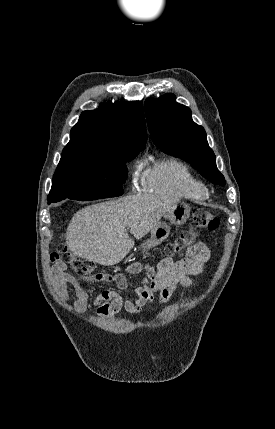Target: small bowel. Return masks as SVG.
I'll use <instances>...</instances> for the list:
<instances>
[{
	"mask_svg": "<svg viewBox=\"0 0 275 429\" xmlns=\"http://www.w3.org/2000/svg\"><path fill=\"white\" fill-rule=\"evenodd\" d=\"M210 253L207 246L197 243L191 247L181 259L175 261L171 257L162 259L156 268L135 262L130 264L126 271L131 274L145 273L142 285L132 289L134 296L123 297L113 290H103L93 301L97 313L101 317L112 318L122 309L132 314H138L143 307L154 301L155 294L159 300L167 302L174 291L179 288H190L193 286L192 275L200 274L209 260ZM54 287L57 295L67 298V284H70L76 296L73 309L82 311L88 301L89 295L82 287V279L66 272V265L57 260L55 263ZM90 282H113L119 288H126L127 282L123 274H103L88 279Z\"/></svg>",
	"mask_w": 275,
	"mask_h": 429,
	"instance_id": "small-bowel-1",
	"label": "small bowel"
}]
</instances>
